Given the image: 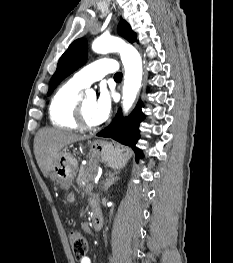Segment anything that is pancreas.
I'll use <instances>...</instances> for the list:
<instances>
[{
    "mask_svg": "<svg viewBox=\"0 0 233 263\" xmlns=\"http://www.w3.org/2000/svg\"><path fill=\"white\" fill-rule=\"evenodd\" d=\"M95 174L90 173L88 170H81L77 178V184L81 188H85V191L88 192L93 189L94 184L91 182Z\"/></svg>",
    "mask_w": 233,
    "mask_h": 263,
    "instance_id": "cf45deb5",
    "label": "pancreas"
}]
</instances>
